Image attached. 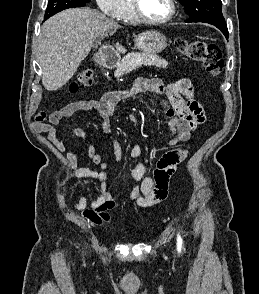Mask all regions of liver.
<instances>
[{
  "label": "liver",
  "instance_id": "1",
  "mask_svg": "<svg viewBox=\"0 0 259 294\" xmlns=\"http://www.w3.org/2000/svg\"><path fill=\"white\" fill-rule=\"evenodd\" d=\"M119 24L97 10L73 8L49 18L41 27L37 53L45 89L54 91L65 85L98 39L113 35ZM116 51L125 48L117 43Z\"/></svg>",
  "mask_w": 259,
  "mask_h": 294
}]
</instances>
